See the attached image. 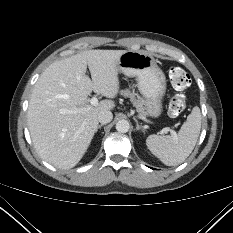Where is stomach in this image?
Wrapping results in <instances>:
<instances>
[{
  "mask_svg": "<svg viewBox=\"0 0 233 233\" xmlns=\"http://www.w3.org/2000/svg\"><path fill=\"white\" fill-rule=\"evenodd\" d=\"M118 70L128 77L137 78V87L145 100L147 114L157 118L163 111L166 77L155 59L139 51H126L118 61Z\"/></svg>",
  "mask_w": 233,
  "mask_h": 233,
  "instance_id": "1",
  "label": "stomach"
}]
</instances>
